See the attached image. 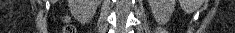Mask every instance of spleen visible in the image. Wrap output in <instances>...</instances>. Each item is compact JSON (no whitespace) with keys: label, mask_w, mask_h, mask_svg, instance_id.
<instances>
[{"label":"spleen","mask_w":235,"mask_h":33,"mask_svg":"<svg viewBox=\"0 0 235 33\" xmlns=\"http://www.w3.org/2000/svg\"><path fill=\"white\" fill-rule=\"evenodd\" d=\"M184 7L187 8V10H189V11L193 9V8L190 7V6H185V5H184Z\"/></svg>","instance_id":"3e777b00"}]
</instances>
